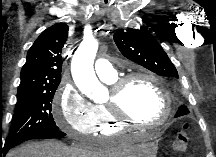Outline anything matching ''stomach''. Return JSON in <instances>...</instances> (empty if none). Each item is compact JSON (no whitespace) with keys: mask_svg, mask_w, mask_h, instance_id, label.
<instances>
[{"mask_svg":"<svg viewBox=\"0 0 216 157\" xmlns=\"http://www.w3.org/2000/svg\"><path fill=\"white\" fill-rule=\"evenodd\" d=\"M157 145L153 142L142 144L141 150L136 157H156Z\"/></svg>","mask_w":216,"mask_h":157,"instance_id":"obj_1","label":"stomach"}]
</instances>
